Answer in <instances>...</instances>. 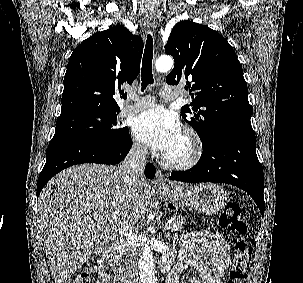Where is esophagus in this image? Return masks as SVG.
Here are the masks:
<instances>
[{"mask_svg":"<svg viewBox=\"0 0 303 283\" xmlns=\"http://www.w3.org/2000/svg\"><path fill=\"white\" fill-rule=\"evenodd\" d=\"M147 24L148 26L151 28V29H156V26H157V21H156V17H153V16H148L147 17ZM155 182L157 184H163L164 183V175L163 173L161 172V170H157L156 172V179H155Z\"/></svg>","mask_w":303,"mask_h":283,"instance_id":"1","label":"esophagus"}]
</instances>
